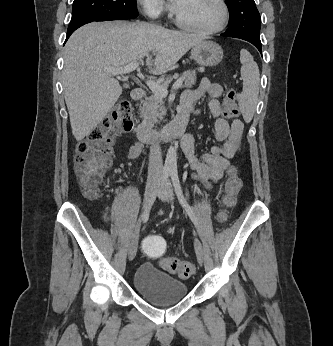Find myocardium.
I'll list each match as a JSON object with an SVG mask.
<instances>
[{"instance_id":"1","label":"myocardium","mask_w":333,"mask_h":346,"mask_svg":"<svg viewBox=\"0 0 333 346\" xmlns=\"http://www.w3.org/2000/svg\"><path fill=\"white\" fill-rule=\"evenodd\" d=\"M217 2L219 3V5L222 9V17H221L219 24L216 25L215 27L200 28V27H197L195 25H192V24L186 22L185 20H183L178 15V13L176 11L174 12V21L179 27L186 29L188 31L199 33V34L212 35V34L219 33L223 29H225V27L227 26V24L229 22V17H230V11H229V7H228L226 0H217Z\"/></svg>"}]
</instances>
